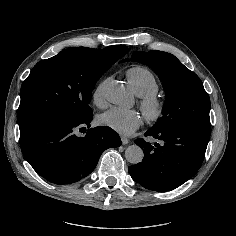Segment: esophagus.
<instances>
[{"label": "esophagus", "mask_w": 236, "mask_h": 236, "mask_svg": "<svg viewBox=\"0 0 236 236\" xmlns=\"http://www.w3.org/2000/svg\"><path fill=\"white\" fill-rule=\"evenodd\" d=\"M121 141H122V144H123V145H126V144L129 143L128 138H126L125 136H121Z\"/></svg>", "instance_id": "34e87169"}]
</instances>
